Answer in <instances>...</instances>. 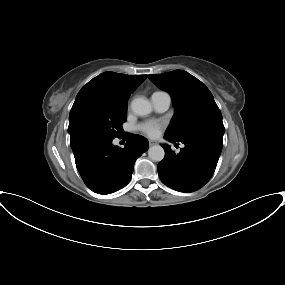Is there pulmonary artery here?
Segmentation results:
<instances>
[{
  "label": "pulmonary artery",
  "mask_w": 285,
  "mask_h": 285,
  "mask_svg": "<svg viewBox=\"0 0 285 285\" xmlns=\"http://www.w3.org/2000/svg\"><path fill=\"white\" fill-rule=\"evenodd\" d=\"M151 102L157 112H165L171 104V97L166 92H155L151 96Z\"/></svg>",
  "instance_id": "e3ab8cb5"
}]
</instances>
